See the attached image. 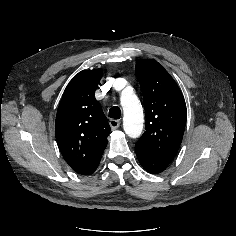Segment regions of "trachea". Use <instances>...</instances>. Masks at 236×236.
<instances>
[{
	"instance_id": "trachea-1",
	"label": "trachea",
	"mask_w": 236,
	"mask_h": 236,
	"mask_svg": "<svg viewBox=\"0 0 236 236\" xmlns=\"http://www.w3.org/2000/svg\"><path fill=\"white\" fill-rule=\"evenodd\" d=\"M121 116V110L118 106H113L109 110V117L113 119H119Z\"/></svg>"
}]
</instances>
